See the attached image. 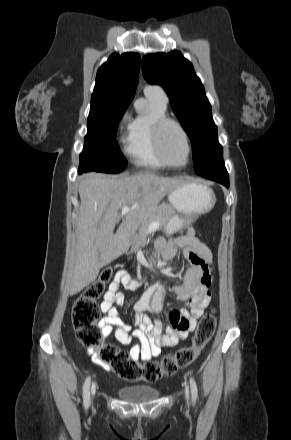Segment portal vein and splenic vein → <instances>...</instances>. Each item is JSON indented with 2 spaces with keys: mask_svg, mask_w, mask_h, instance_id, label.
<instances>
[{
  "mask_svg": "<svg viewBox=\"0 0 291 440\" xmlns=\"http://www.w3.org/2000/svg\"><path fill=\"white\" fill-rule=\"evenodd\" d=\"M132 209H134V207L123 206L122 207V214L124 215V214H126L128 211H130ZM158 228H159V222L155 221V222H153V223H151L149 225L148 233H151V232L157 230Z\"/></svg>",
  "mask_w": 291,
  "mask_h": 440,
  "instance_id": "18ae733b",
  "label": "portal vein and splenic vein"
}]
</instances>
